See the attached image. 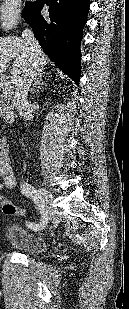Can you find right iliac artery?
Segmentation results:
<instances>
[{
	"instance_id": "obj_1",
	"label": "right iliac artery",
	"mask_w": 129,
	"mask_h": 309,
	"mask_svg": "<svg viewBox=\"0 0 129 309\" xmlns=\"http://www.w3.org/2000/svg\"><path fill=\"white\" fill-rule=\"evenodd\" d=\"M22 194H24L25 196L31 198L35 205L37 206V208L40 210V213H41V220L38 224H33V223H30L29 224V227L33 228L34 230H38L42 227V225H44V222H45V217H46V214H45V208H44V205L42 203V199H41V196L39 195V193L37 192V190L31 186V185H25L23 186V189H22Z\"/></svg>"
}]
</instances>
